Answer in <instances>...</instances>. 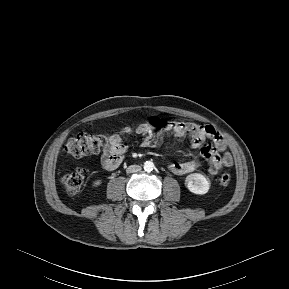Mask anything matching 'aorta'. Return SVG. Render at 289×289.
<instances>
[{
  "instance_id": "762f6f07",
  "label": "aorta",
  "mask_w": 289,
  "mask_h": 289,
  "mask_svg": "<svg viewBox=\"0 0 289 289\" xmlns=\"http://www.w3.org/2000/svg\"><path fill=\"white\" fill-rule=\"evenodd\" d=\"M143 167L145 171H152L154 169V163L152 161H145Z\"/></svg>"
}]
</instances>
